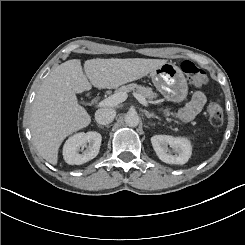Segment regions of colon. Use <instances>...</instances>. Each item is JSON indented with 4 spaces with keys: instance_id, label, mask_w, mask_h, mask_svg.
Returning a JSON list of instances; mask_svg holds the SVG:
<instances>
[{
    "instance_id": "5ec220e1",
    "label": "colon",
    "mask_w": 245,
    "mask_h": 245,
    "mask_svg": "<svg viewBox=\"0 0 245 245\" xmlns=\"http://www.w3.org/2000/svg\"><path fill=\"white\" fill-rule=\"evenodd\" d=\"M182 71L187 75L189 80L195 86H204L207 82V76L203 69L195 65L191 61H184L181 63ZM207 115L209 122L219 127L224 121L223 109L219 102L211 101L207 106Z\"/></svg>"
}]
</instances>
